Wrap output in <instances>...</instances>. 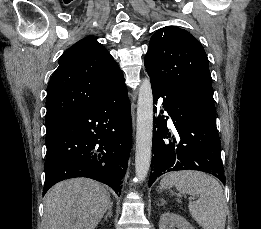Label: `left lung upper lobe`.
<instances>
[{"instance_id":"1","label":"left lung upper lobe","mask_w":261,"mask_h":229,"mask_svg":"<svg viewBox=\"0 0 261 229\" xmlns=\"http://www.w3.org/2000/svg\"><path fill=\"white\" fill-rule=\"evenodd\" d=\"M144 64L152 79L213 95L206 53L200 42L184 29L167 26L157 30L150 39Z\"/></svg>"}]
</instances>
